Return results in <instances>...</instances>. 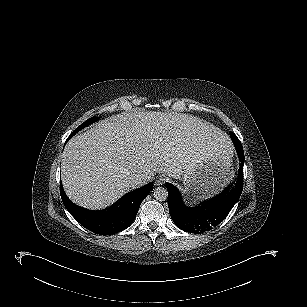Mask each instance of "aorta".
<instances>
[{
	"label": "aorta",
	"mask_w": 307,
	"mask_h": 307,
	"mask_svg": "<svg viewBox=\"0 0 307 307\" xmlns=\"http://www.w3.org/2000/svg\"><path fill=\"white\" fill-rule=\"evenodd\" d=\"M154 198L160 202L165 201L168 199V191L163 187H157L154 190Z\"/></svg>",
	"instance_id": "1"
}]
</instances>
